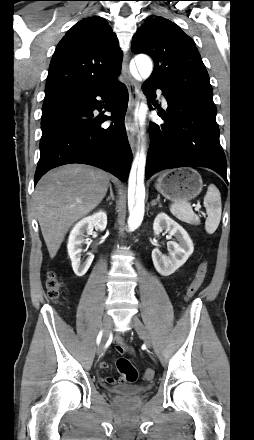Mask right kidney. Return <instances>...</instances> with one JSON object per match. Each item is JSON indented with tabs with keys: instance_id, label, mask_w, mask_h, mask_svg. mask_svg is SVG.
Here are the masks:
<instances>
[{
	"instance_id": "ca27d5eb",
	"label": "right kidney",
	"mask_w": 254,
	"mask_h": 440,
	"mask_svg": "<svg viewBox=\"0 0 254 440\" xmlns=\"http://www.w3.org/2000/svg\"><path fill=\"white\" fill-rule=\"evenodd\" d=\"M106 225L107 215L104 211H99L91 216L83 218L71 230L68 239L67 249L68 255L72 262L73 271L77 276H83L89 269L94 259V255L92 253H89L86 261H81V246L83 243L88 241V239H85V237H87L85 233L87 235H90L94 227H97L100 230H104Z\"/></svg>"
}]
</instances>
